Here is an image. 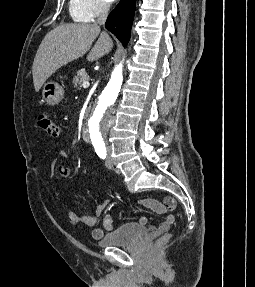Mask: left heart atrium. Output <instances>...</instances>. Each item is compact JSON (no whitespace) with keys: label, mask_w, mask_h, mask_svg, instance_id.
<instances>
[{"label":"left heart atrium","mask_w":255,"mask_h":287,"mask_svg":"<svg viewBox=\"0 0 255 287\" xmlns=\"http://www.w3.org/2000/svg\"><path fill=\"white\" fill-rule=\"evenodd\" d=\"M73 33H86V32H73ZM72 39H92V38H72ZM72 48H90V47H72Z\"/></svg>","instance_id":"1"}]
</instances>
